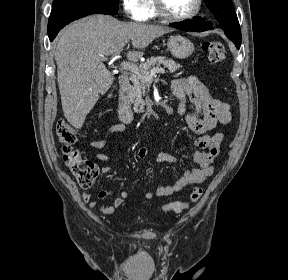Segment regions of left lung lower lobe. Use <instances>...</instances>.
<instances>
[{
  "mask_svg": "<svg viewBox=\"0 0 288 280\" xmlns=\"http://www.w3.org/2000/svg\"><path fill=\"white\" fill-rule=\"evenodd\" d=\"M173 27L179 28L184 31H196V32H202L206 30H212L214 29L210 24L205 22L201 17H195L192 20L184 21L181 23H173L170 24ZM237 49L240 48L241 43H234Z\"/></svg>",
  "mask_w": 288,
  "mask_h": 280,
  "instance_id": "1",
  "label": "left lung lower lobe"
}]
</instances>
